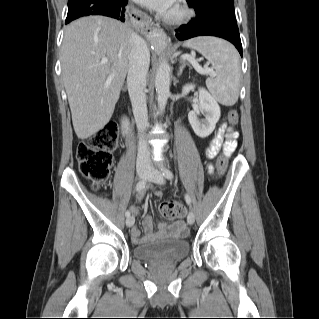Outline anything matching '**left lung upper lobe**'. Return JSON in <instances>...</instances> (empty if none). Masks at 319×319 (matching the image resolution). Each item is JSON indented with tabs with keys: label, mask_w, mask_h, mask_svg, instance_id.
Masks as SVG:
<instances>
[{
	"label": "left lung upper lobe",
	"mask_w": 319,
	"mask_h": 319,
	"mask_svg": "<svg viewBox=\"0 0 319 319\" xmlns=\"http://www.w3.org/2000/svg\"><path fill=\"white\" fill-rule=\"evenodd\" d=\"M193 7L196 18L220 17L236 22L233 0H186Z\"/></svg>",
	"instance_id": "left-lung-upper-lobe-1"
}]
</instances>
